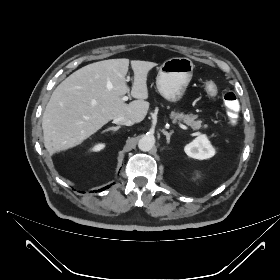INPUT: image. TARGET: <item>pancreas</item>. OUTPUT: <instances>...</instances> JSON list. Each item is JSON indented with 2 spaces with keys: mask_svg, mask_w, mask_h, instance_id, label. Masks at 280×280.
Returning <instances> with one entry per match:
<instances>
[{
  "mask_svg": "<svg viewBox=\"0 0 280 280\" xmlns=\"http://www.w3.org/2000/svg\"><path fill=\"white\" fill-rule=\"evenodd\" d=\"M170 118L172 119L173 122H183L187 125H189L192 129L194 130H199V129H207L208 125L203 124V121L200 119H197L198 116L194 114H184V113H179V112H171Z\"/></svg>",
  "mask_w": 280,
  "mask_h": 280,
  "instance_id": "1",
  "label": "pancreas"
}]
</instances>
